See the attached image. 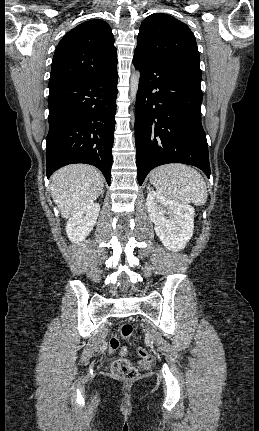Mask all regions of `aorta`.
<instances>
[{
	"label": "aorta",
	"mask_w": 259,
	"mask_h": 431,
	"mask_svg": "<svg viewBox=\"0 0 259 431\" xmlns=\"http://www.w3.org/2000/svg\"><path fill=\"white\" fill-rule=\"evenodd\" d=\"M140 73L138 71L133 72L130 79V96L133 100L136 99L138 86H139Z\"/></svg>",
	"instance_id": "obj_1"
}]
</instances>
